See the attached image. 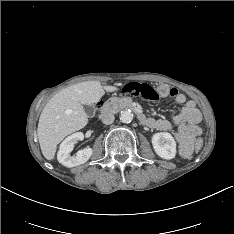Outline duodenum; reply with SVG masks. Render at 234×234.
<instances>
[{
	"label": "duodenum",
	"mask_w": 234,
	"mask_h": 234,
	"mask_svg": "<svg viewBox=\"0 0 234 234\" xmlns=\"http://www.w3.org/2000/svg\"><path fill=\"white\" fill-rule=\"evenodd\" d=\"M116 109H130L136 114L138 120L141 123L143 124L148 123V118L146 117V115L141 111V109L134 102L130 100H115L107 104H104L101 107L102 113H109Z\"/></svg>",
	"instance_id": "obj_1"
}]
</instances>
